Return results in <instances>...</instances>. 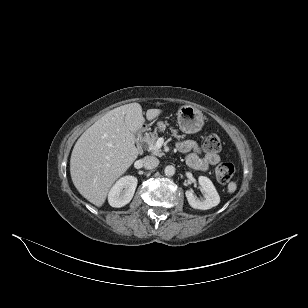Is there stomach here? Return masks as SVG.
<instances>
[{"mask_svg": "<svg viewBox=\"0 0 308 308\" xmlns=\"http://www.w3.org/2000/svg\"><path fill=\"white\" fill-rule=\"evenodd\" d=\"M179 128L185 133H196L204 124L203 113L191 105L182 106L177 113Z\"/></svg>", "mask_w": 308, "mask_h": 308, "instance_id": "obj_1", "label": "stomach"}]
</instances>
